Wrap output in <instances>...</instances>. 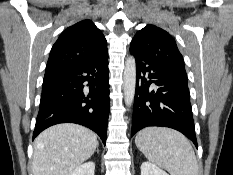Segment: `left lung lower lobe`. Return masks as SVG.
<instances>
[{"mask_svg":"<svg viewBox=\"0 0 233 175\" xmlns=\"http://www.w3.org/2000/svg\"><path fill=\"white\" fill-rule=\"evenodd\" d=\"M130 53L136 60L131 135L149 126L169 127L183 133L197 147L187 75L152 62L133 45ZM152 83L155 89L150 87Z\"/></svg>","mask_w":233,"mask_h":175,"instance_id":"left-lung-lower-lobe-1","label":"left lung lower lobe"}]
</instances>
